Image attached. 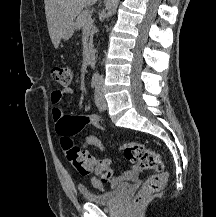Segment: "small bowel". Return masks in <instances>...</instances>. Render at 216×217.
<instances>
[{
  "mask_svg": "<svg viewBox=\"0 0 216 217\" xmlns=\"http://www.w3.org/2000/svg\"><path fill=\"white\" fill-rule=\"evenodd\" d=\"M73 92L74 91H73L72 88L66 87V88H63V89L54 90L51 93L50 100H51V103L53 105L51 115H52V119L55 122L57 127L65 117L62 109L59 107V104L62 102L64 97H66L68 95H71ZM83 146L86 147V148L87 147H92V146L96 147L99 150L100 153H102L104 151V146H103L101 140L98 137L93 136V135L85 137V139L83 141ZM93 159L95 161H98L95 157H93ZM106 161L110 165V161L109 160H106ZM138 171H139V168L134 166V167L130 168L127 172H125L122 176L113 178L110 181V185L111 186H116V185H118L119 183H121L123 181L130 180L135 176V174ZM97 174H100V173H97ZM90 183L96 189H102L103 188L102 181L97 179V178H92Z\"/></svg>",
  "mask_w": 216,
  "mask_h": 217,
  "instance_id": "1",
  "label": "small bowel"
}]
</instances>
